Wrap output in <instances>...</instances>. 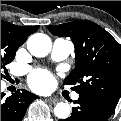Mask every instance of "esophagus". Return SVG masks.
I'll use <instances>...</instances> for the list:
<instances>
[{"instance_id":"34e87169","label":"esophagus","mask_w":121,"mask_h":121,"mask_svg":"<svg viewBox=\"0 0 121 121\" xmlns=\"http://www.w3.org/2000/svg\"><path fill=\"white\" fill-rule=\"evenodd\" d=\"M47 101H48L49 103H52V104L57 103V99H55V98H48Z\"/></svg>"}]
</instances>
